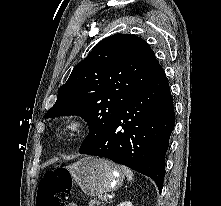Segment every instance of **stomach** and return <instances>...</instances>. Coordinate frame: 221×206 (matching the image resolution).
Returning <instances> with one entry per match:
<instances>
[{"label":"stomach","mask_w":221,"mask_h":206,"mask_svg":"<svg viewBox=\"0 0 221 206\" xmlns=\"http://www.w3.org/2000/svg\"><path fill=\"white\" fill-rule=\"evenodd\" d=\"M83 192L101 196L116 190L124 180V172L114 163L97 157H86L66 167Z\"/></svg>","instance_id":"stomach-1"}]
</instances>
